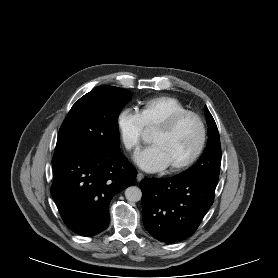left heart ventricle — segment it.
Returning a JSON list of instances; mask_svg holds the SVG:
<instances>
[{"label": "left heart ventricle", "mask_w": 278, "mask_h": 278, "mask_svg": "<svg viewBox=\"0 0 278 278\" xmlns=\"http://www.w3.org/2000/svg\"><path fill=\"white\" fill-rule=\"evenodd\" d=\"M150 141L162 149L170 166L194 152L199 142V127L195 120L188 118L171 132L154 130Z\"/></svg>", "instance_id": "1"}]
</instances>
